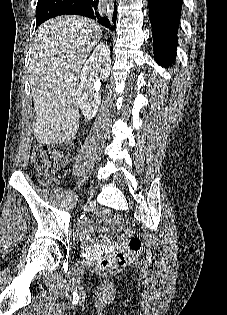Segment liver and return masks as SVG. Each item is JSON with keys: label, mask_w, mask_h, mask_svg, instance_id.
Segmentation results:
<instances>
[{"label": "liver", "mask_w": 227, "mask_h": 315, "mask_svg": "<svg viewBox=\"0 0 227 315\" xmlns=\"http://www.w3.org/2000/svg\"><path fill=\"white\" fill-rule=\"evenodd\" d=\"M101 27L81 16H59L37 30L30 60L36 112L34 136L40 144L71 140L79 127L77 89L87 57L100 41Z\"/></svg>", "instance_id": "1"}]
</instances>
